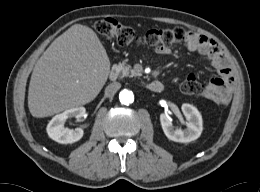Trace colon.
Instances as JSON below:
<instances>
[{
  "label": "colon",
  "mask_w": 260,
  "mask_h": 192,
  "mask_svg": "<svg viewBox=\"0 0 260 192\" xmlns=\"http://www.w3.org/2000/svg\"><path fill=\"white\" fill-rule=\"evenodd\" d=\"M95 28L106 38L115 39L120 45L146 44L156 48L170 47L185 40L187 31L182 27L152 29L144 35H138L131 27L123 25L113 18H103L96 22ZM185 94L197 95L203 90V85L194 75H189L182 83Z\"/></svg>",
  "instance_id": "colon-1"
}]
</instances>
